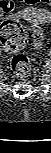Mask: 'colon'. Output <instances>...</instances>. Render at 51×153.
I'll return each instance as SVG.
<instances>
[{"label":"colon","instance_id":"obj_1","mask_svg":"<svg viewBox=\"0 0 51 153\" xmlns=\"http://www.w3.org/2000/svg\"><path fill=\"white\" fill-rule=\"evenodd\" d=\"M28 4H48L50 0H24ZM40 23V22H38ZM33 44L35 49L39 52L42 48L44 33L39 26L35 24L32 26ZM1 44L5 50L15 55L11 59V70L19 78H26L30 74V60L26 55L20 54L19 51L25 46L27 42L26 28L14 19H6L1 24Z\"/></svg>","mask_w":51,"mask_h":153}]
</instances>
